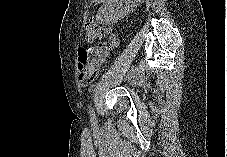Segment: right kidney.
Returning a JSON list of instances; mask_svg holds the SVG:
<instances>
[{
    "label": "right kidney",
    "mask_w": 227,
    "mask_h": 157,
    "mask_svg": "<svg viewBox=\"0 0 227 157\" xmlns=\"http://www.w3.org/2000/svg\"><path fill=\"white\" fill-rule=\"evenodd\" d=\"M119 2V3H118ZM129 12L127 7L122 5V1H107L98 11L97 18L106 24L115 23L125 17Z\"/></svg>",
    "instance_id": "obj_1"
}]
</instances>
